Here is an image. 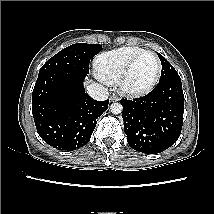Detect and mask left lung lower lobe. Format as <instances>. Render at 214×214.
Returning a JSON list of instances; mask_svg holds the SVG:
<instances>
[{
  "instance_id": "0a47b994",
  "label": "left lung lower lobe",
  "mask_w": 214,
  "mask_h": 214,
  "mask_svg": "<svg viewBox=\"0 0 214 214\" xmlns=\"http://www.w3.org/2000/svg\"><path fill=\"white\" fill-rule=\"evenodd\" d=\"M124 131L133 149L160 153L179 138L183 125L184 95L179 78L159 81L146 96L121 99Z\"/></svg>"
}]
</instances>
